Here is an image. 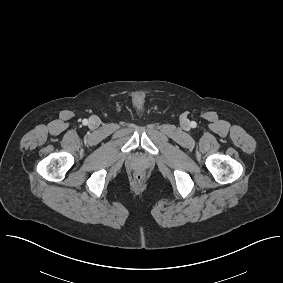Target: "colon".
<instances>
[{
  "mask_svg": "<svg viewBox=\"0 0 283 283\" xmlns=\"http://www.w3.org/2000/svg\"><path fill=\"white\" fill-rule=\"evenodd\" d=\"M143 179H144V174L143 173L138 172V173L135 174V180L137 182H141Z\"/></svg>",
  "mask_w": 283,
  "mask_h": 283,
  "instance_id": "1",
  "label": "colon"
}]
</instances>
